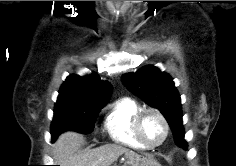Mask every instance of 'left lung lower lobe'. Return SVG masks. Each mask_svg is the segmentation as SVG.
<instances>
[{"mask_svg":"<svg viewBox=\"0 0 236 166\" xmlns=\"http://www.w3.org/2000/svg\"><path fill=\"white\" fill-rule=\"evenodd\" d=\"M170 127L172 129L174 141L176 145H178L179 147L183 149H187V144H186V141L184 140V129L182 126V122L179 121L176 123H172L170 124Z\"/></svg>","mask_w":236,"mask_h":166,"instance_id":"obj_1","label":"left lung lower lobe"}]
</instances>
